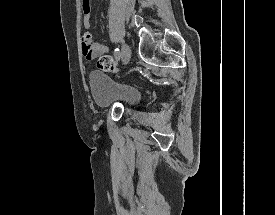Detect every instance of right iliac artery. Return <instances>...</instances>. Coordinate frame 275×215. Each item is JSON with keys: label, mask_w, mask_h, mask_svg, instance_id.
Masks as SVG:
<instances>
[{"label": "right iliac artery", "mask_w": 275, "mask_h": 215, "mask_svg": "<svg viewBox=\"0 0 275 215\" xmlns=\"http://www.w3.org/2000/svg\"><path fill=\"white\" fill-rule=\"evenodd\" d=\"M114 56H115V58H116L117 60L120 59V50H119L118 48L115 49V51H114Z\"/></svg>", "instance_id": "right-iliac-artery-1"}]
</instances>
